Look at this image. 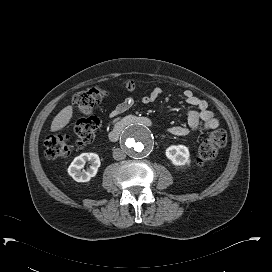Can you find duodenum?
Listing matches in <instances>:
<instances>
[{
    "instance_id": "duodenum-1",
    "label": "duodenum",
    "mask_w": 272,
    "mask_h": 272,
    "mask_svg": "<svg viewBox=\"0 0 272 272\" xmlns=\"http://www.w3.org/2000/svg\"><path fill=\"white\" fill-rule=\"evenodd\" d=\"M133 121V118H127L116 122L112 129L108 132V140L110 142H116L119 139L124 127L128 124H131Z\"/></svg>"
}]
</instances>
